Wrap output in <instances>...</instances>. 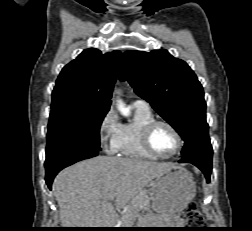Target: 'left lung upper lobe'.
<instances>
[{
	"mask_svg": "<svg viewBox=\"0 0 252 231\" xmlns=\"http://www.w3.org/2000/svg\"><path fill=\"white\" fill-rule=\"evenodd\" d=\"M119 78L181 135L182 156L212 148L203 87L186 62L167 50H129L122 55Z\"/></svg>",
	"mask_w": 252,
	"mask_h": 231,
	"instance_id": "obj_1",
	"label": "left lung upper lobe"
}]
</instances>
